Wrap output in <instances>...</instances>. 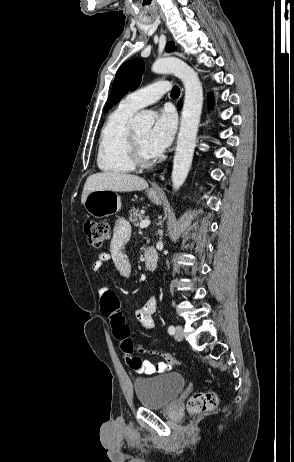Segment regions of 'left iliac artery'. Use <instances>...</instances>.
<instances>
[{
  "instance_id": "1",
  "label": "left iliac artery",
  "mask_w": 294,
  "mask_h": 462,
  "mask_svg": "<svg viewBox=\"0 0 294 462\" xmlns=\"http://www.w3.org/2000/svg\"><path fill=\"white\" fill-rule=\"evenodd\" d=\"M168 332L170 335H173L175 333V327L173 325H170L168 327Z\"/></svg>"
}]
</instances>
